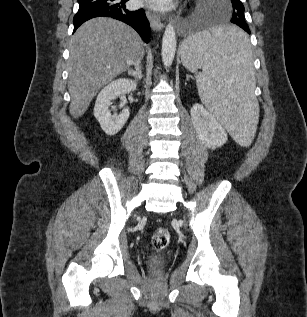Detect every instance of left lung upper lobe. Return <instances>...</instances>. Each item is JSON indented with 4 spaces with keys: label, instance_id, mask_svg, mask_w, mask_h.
<instances>
[{
    "label": "left lung upper lobe",
    "instance_id": "1",
    "mask_svg": "<svg viewBox=\"0 0 307 317\" xmlns=\"http://www.w3.org/2000/svg\"><path fill=\"white\" fill-rule=\"evenodd\" d=\"M231 2H232V10H233L232 19L237 20V18H238V20L241 24L246 25L243 4L241 3L240 0H231Z\"/></svg>",
    "mask_w": 307,
    "mask_h": 317
}]
</instances>
